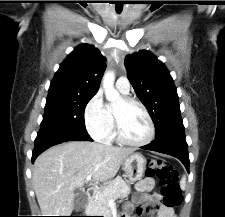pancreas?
Listing matches in <instances>:
<instances>
[{"mask_svg": "<svg viewBox=\"0 0 225 217\" xmlns=\"http://www.w3.org/2000/svg\"><path fill=\"white\" fill-rule=\"evenodd\" d=\"M130 193V185L122 177L118 176L112 180L103 190L97 192L89 202L87 210L97 216L112 217L109 209L111 200L127 197Z\"/></svg>", "mask_w": 225, "mask_h": 217, "instance_id": "1", "label": "pancreas"}]
</instances>
